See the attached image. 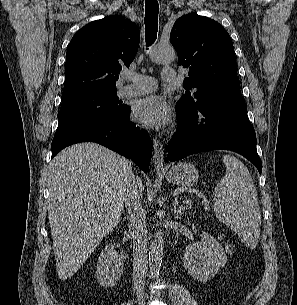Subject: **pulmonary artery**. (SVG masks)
Returning a JSON list of instances; mask_svg holds the SVG:
<instances>
[{
  "label": "pulmonary artery",
  "mask_w": 297,
  "mask_h": 305,
  "mask_svg": "<svg viewBox=\"0 0 297 305\" xmlns=\"http://www.w3.org/2000/svg\"><path fill=\"white\" fill-rule=\"evenodd\" d=\"M126 81L132 82L130 85H125L120 89L122 97H131L142 95L154 91L157 87V82L153 77L138 73L124 74ZM162 79L165 82H176L177 73L173 69H164L162 71Z\"/></svg>",
  "instance_id": "1"
}]
</instances>
